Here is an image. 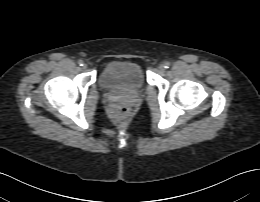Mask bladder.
Masks as SVG:
<instances>
[{
    "label": "bladder",
    "instance_id": "obj_1",
    "mask_svg": "<svg viewBox=\"0 0 260 202\" xmlns=\"http://www.w3.org/2000/svg\"><path fill=\"white\" fill-rule=\"evenodd\" d=\"M98 84L105 90L139 93L146 87V78L141 66L131 61H115L100 72Z\"/></svg>",
    "mask_w": 260,
    "mask_h": 202
}]
</instances>
